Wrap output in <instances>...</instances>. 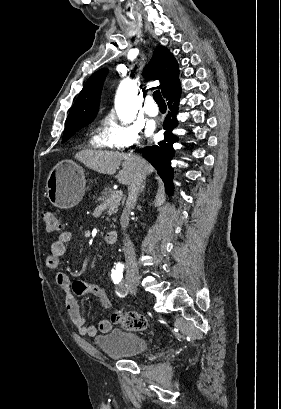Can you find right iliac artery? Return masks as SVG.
Wrapping results in <instances>:
<instances>
[{
    "mask_svg": "<svg viewBox=\"0 0 281 409\" xmlns=\"http://www.w3.org/2000/svg\"><path fill=\"white\" fill-rule=\"evenodd\" d=\"M112 279H113V282L115 283V284H119L120 283V281H121V279H122V277L121 276H119V275H113L112 276ZM116 294L119 296V297H125L126 295H127V289L124 287V286H122V285H120L118 288H117V290H116Z\"/></svg>",
    "mask_w": 281,
    "mask_h": 409,
    "instance_id": "1",
    "label": "right iliac artery"
}]
</instances>
